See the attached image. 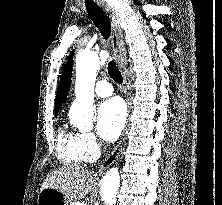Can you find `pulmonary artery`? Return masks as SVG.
<instances>
[{
    "label": "pulmonary artery",
    "mask_w": 222,
    "mask_h": 205,
    "mask_svg": "<svg viewBox=\"0 0 222 205\" xmlns=\"http://www.w3.org/2000/svg\"><path fill=\"white\" fill-rule=\"evenodd\" d=\"M95 94L99 97H108L112 95L113 88L107 81H99L95 86Z\"/></svg>",
    "instance_id": "obj_1"
}]
</instances>
